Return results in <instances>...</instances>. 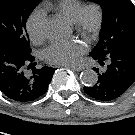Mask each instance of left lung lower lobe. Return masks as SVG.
<instances>
[{
    "label": "left lung lower lobe",
    "mask_w": 135,
    "mask_h": 135,
    "mask_svg": "<svg viewBox=\"0 0 135 135\" xmlns=\"http://www.w3.org/2000/svg\"><path fill=\"white\" fill-rule=\"evenodd\" d=\"M100 65L107 63L98 73L95 85L86 87L84 91L92 98L101 101H111L120 97L135 81V48L122 47L111 51L106 56L90 54Z\"/></svg>",
    "instance_id": "left-lung-lower-lobe-1"
}]
</instances>
